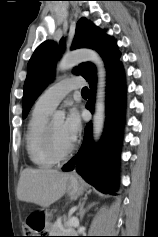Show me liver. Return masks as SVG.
Segmentation results:
<instances>
[{
	"mask_svg": "<svg viewBox=\"0 0 158 237\" xmlns=\"http://www.w3.org/2000/svg\"><path fill=\"white\" fill-rule=\"evenodd\" d=\"M70 174L51 169L25 168L17 187L19 200L48 207L66 192Z\"/></svg>",
	"mask_w": 158,
	"mask_h": 237,
	"instance_id": "liver-1",
	"label": "liver"
}]
</instances>
